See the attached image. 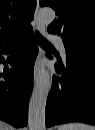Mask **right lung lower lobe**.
I'll return each instance as SVG.
<instances>
[{"instance_id":"right-lung-lower-lobe-1","label":"right lung lower lobe","mask_w":95,"mask_h":130,"mask_svg":"<svg viewBox=\"0 0 95 130\" xmlns=\"http://www.w3.org/2000/svg\"><path fill=\"white\" fill-rule=\"evenodd\" d=\"M37 53L38 46L32 31L15 43L0 48V63H5L2 54L13 55L10 62L13 68L0 73V119L15 127L27 125Z\"/></svg>"}]
</instances>
